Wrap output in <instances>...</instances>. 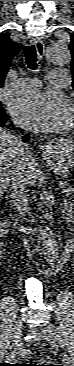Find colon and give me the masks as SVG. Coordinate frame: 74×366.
<instances>
[{
    "instance_id": "colon-1",
    "label": "colon",
    "mask_w": 74,
    "mask_h": 366,
    "mask_svg": "<svg viewBox=\"0 0 74 366\" xmlns=\"http://www.w3.org/2000/svg\"><path fill=\"white\" fill-rule=\"evenodd\" d=\"M26 366H52L51 364L47 363L46 361H35L31 364H25Z\"/></svg>"
}]
</instances>
